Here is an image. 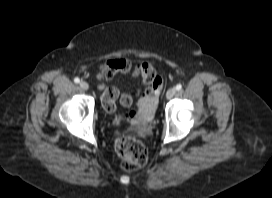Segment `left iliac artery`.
Returning <instances> with one entry per match:
<instances>
[{
	"label": "left iliac artery",
	"mask_w": 272,
	"mask_h": 198,
	"mask_svg": "<svg viewBox=\"0 0 272 198\" xmlns=\"http://www.w3.org/2000/svg\"><path fill=\"white\" fill-rule=\"evenodd\" d=\"M181 89H182V85H181V84H177V85H176V90L179 91V90H181Z\"/></svg>",
	"instance_id": "44dca946"
}]
</instances>
